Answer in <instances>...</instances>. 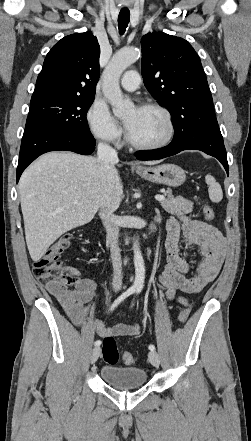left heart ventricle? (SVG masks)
Segmentation results:
<instances>
[{"label":"left heart ventricle","mask_w":251,"mask_h":441,"mask_svg":"<svg viewBox=\"0 0 251 441\" xmlns=\"http://www.w3.org/2000/svg\"><path fill=\"white\" fill-rule=\"evenodd\" d=\"M132 137L141 143H156L164 139L168 126L163 114L154 109L133 108L125 117Z\"/></svg>","instance_id":"b2bd125f"}]
</instances>
